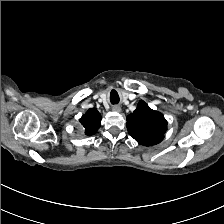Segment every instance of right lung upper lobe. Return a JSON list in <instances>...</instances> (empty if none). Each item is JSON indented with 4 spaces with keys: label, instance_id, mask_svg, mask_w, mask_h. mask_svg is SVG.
I'll list each match as a JSON object with an SVG mask.
<instances>
[{
    "label": "right lung upper lobe",
    "instance_id": "right-lung-upper-lobe-1",
    "mask_svg": "<svg viewBox=\"0 0 224 224\" xmlns=\"http://www.w3.org/2000/svg\"><path fill=\"white\" fill-rule=\"evenodd\" d=\"M101 115L96 109H89L80 119L85 134L91 136L96 133L100 127Z\"/></svg>",
    "mask_w": 224,
    "mask_h": 224
}]
</instances>
